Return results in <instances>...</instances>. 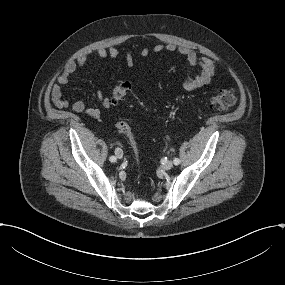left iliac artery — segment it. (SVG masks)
Listing matches in <instances>:
<instances>
[{
  "label": "left iliac artery",
  "instance_id": "1",
  "mask_svg": "<svg viewBox=\"0 0 285 285\" xmlns=\"http://www.w3.org/2000/svg\"><path fill=\"white\" fill-rule=\"evenodd\" d=\"M180 159H178V158H175L174 160H173V163H174V165H179L180 164Z\"/></svg>",
  "mask_w": 285,
  "mask_h": 285
}]
</instances>
